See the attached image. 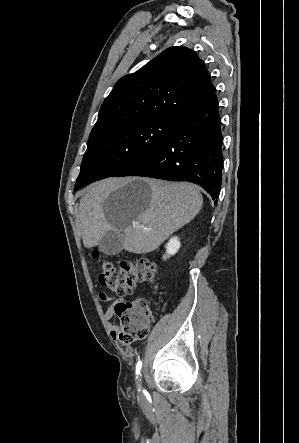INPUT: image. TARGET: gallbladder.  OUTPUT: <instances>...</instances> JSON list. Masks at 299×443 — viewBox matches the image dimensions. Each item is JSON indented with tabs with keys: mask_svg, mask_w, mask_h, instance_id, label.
<instances>
[{
	"mask_svg": "<svg viewBox=\"0 0 299 443\" xmlns=\"http://www.w3.org/2000/svg\"><path fill=\"white\" fill-rule=\"evenodd\" d=\"M124 235L121 232H108L101 240L98 248L107 255H117L123 250Z\"/></svg>",
	"mask_w": 299,
	"mask_h": 443,
	"instance_id": "1",
	"label": "gallbladder"
}]
</instances>
